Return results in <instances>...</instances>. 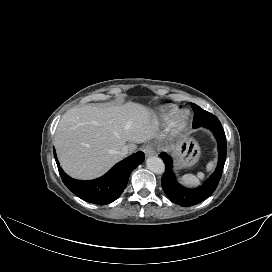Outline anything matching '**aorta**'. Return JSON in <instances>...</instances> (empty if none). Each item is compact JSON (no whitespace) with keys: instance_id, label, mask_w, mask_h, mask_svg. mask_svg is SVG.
I'll return each instance as SVG.
<instances>
[{"instance_id":"762f6f07","label":"aorta","mask_w":272,"mask_h":272,"mask_svg":"<svg viewBox=\"0 0 272 272\" xmlns=\"http://www.w3.org/2000/svg\"><path fill=\"white\" fill-rule=\"evenodd\" d=\"M146 166L147 168L156 173V174H162L165 171V164L162 161L161 158L157 156H151L146 160Z\"/></svg>"}]
</instances>
